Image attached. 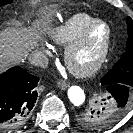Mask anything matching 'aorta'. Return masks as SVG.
Returning a JSON list of instances; mask_svg holds the SVG:
<instances>
[{
    "mask_svg": "<svg viewBox=\"0 0 133 133\" xmlns=\"http://www.w3.org/2000/svg\"><path fill=\"white\" fill-rule=\"evenodd\" d=\"M68 98L75 106H80L85 102V93L79 86H71L68 89Z\"/></svg>",
    "mask_w": 133,
    "mask_h": 133,
    "instance_id": "1",
    "label": "aorta"
}]
</instances>
